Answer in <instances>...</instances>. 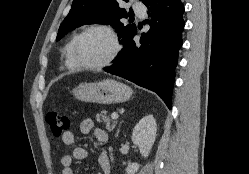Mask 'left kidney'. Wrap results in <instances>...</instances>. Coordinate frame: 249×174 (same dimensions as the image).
<instances>
[{
	"label": "left kidney",
	"instance_id": "1",
	"mask_svg": "<svg viewBox=\"0 0 249 174\" xmlns=\"http://www.w3.org/2000/svg\"><path fill=\"white\" fill-rule=\"evenodd\" d=\"M157 132L156 120L153 115L143 117L133 129L132 141L139 147L143 157H148L155 142ZM138 163H129L126 168L127 174H135L139 169Z\"/></svg>",
	"mask_w": 249,
	"mask_h": 174
}]
</instances>
